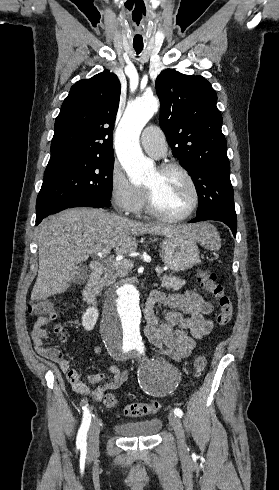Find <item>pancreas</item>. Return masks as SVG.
<instances>
[{
  "label": "pancreas",
  "mask_w": 279,
  "mask_h": 490,
  "mask_svg": "<svg viewBox=\"0 0 279 490\" xmlns=\"http://www.w3.org/2000/svg\"><path fill=\"white\" fill-rule=\"evenodd\" d=\"M114 268L115 270H113V268L107 270L106 274H104V278H101L100 280V286H109V284H114L117 278L128 276L130 270L133 268V264L128 260V264H119V266H114ZM160 280L162 282V288H167V290H170V288H173V290H180L185 284L184 280H180V278H176V276H172V274H169V276H166L165 274Z\"/></svg>",
  "instance_id": "1"
}]
</instances>
